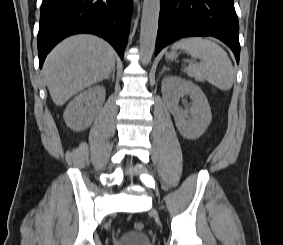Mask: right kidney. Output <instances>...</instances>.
I'll return each mask as SVG.
<instances>
[{
    "label": "right kidney",
    "instance_id": "right-kidney-1",
    "mask_svg": "<svg viewBox=\"0 0 283 245\" xmlns=\"http://www.w3.org/2000/svg\"><path fill=\"white\" fill-rule=\"evenodd\" d=\"M103 86L91 87L77 95L66 107L63 118L67 126L75 131L88 128L105 101Z\"/></svg>",
    "mask_w": 283,
    "mask_h": 245
}]
</instances>
